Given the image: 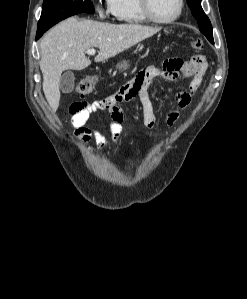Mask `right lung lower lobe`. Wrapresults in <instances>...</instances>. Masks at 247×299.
Instances as JSON below:
<instances>
[{
	"instance_id": "right-lung-lower-lobe-1",
	"label": "right lung lower lobe",
	"mask_w": 247,
	"mask_h": 299,
	"mask_svg": "<svg viewBox=\"0 0 247 299\" xmlns=\"http://www.w3.org/2000/svg\"><path fill=\"white\" fill-rule=\"evenodd\" d=\"M40 37H36V40L39 39Z\"/></svg>"
}]
</instances>
